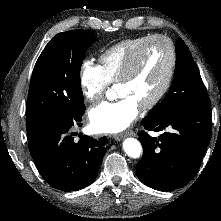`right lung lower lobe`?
Returning a JSON list of instances; mask_svg holds the SVG:
<instances>
[{
	"mask_svg": "<svg viewBox=\"0 0 221 221\" xmlns=\"http://www.w3.org/2000/svg\"><path fill=\"white\" fill-rule=\"evenodd\" d=\"M82 113L48 120L29 138V150L43 179L53 188L70 192L90 185L96 178L107 138L83 136L74 142L71 128L80 125Z\"/></svg>",
	"mask_w": 221,
	"mask_h": 221,
	"instance_id": "1",
	"label": "right lung lower lobe"
}]
</instances>
